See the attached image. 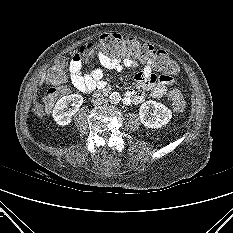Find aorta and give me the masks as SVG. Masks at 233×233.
<instances>
[{
    "label": "aorta",
    "mask_w": 233,
    "mask_h": 233,
    "mask_svg": "<svg viewBox=\"0 0 233 233\" xmlns=\"http://www.w3.org/2000/svg\"><path fill=\"white\" fill-rule=\"evenodd\" d=\"M121 100V95L118 92H113L111 93L110 97H109V101L112 104H117L119 103Z\"/></svg>",
    "instance_id": "aorta-1"
}]
</instances>
